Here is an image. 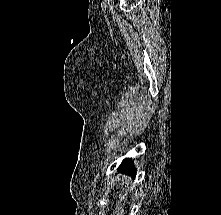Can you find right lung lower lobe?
Wrapping results in <instances>:
<instances>
[{"mask_svg":"<svg viewBox=\"0 0 221 215\" xmlns=\"http://www.w3.org/2000/svg\"><path fill=\"white\" fill-rule=\"evenodd\" d=\"M128 172L132 174L134 177L136 175V169L134 168V164L132 162V159H125L122 164L119 167V172Z\"/></svg>","mask_w":221,"mask_h":215,"instance_id":"right-lung-lower-lobe-1","label":"right lung lower lobe"}]
</instances>
